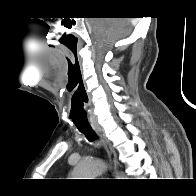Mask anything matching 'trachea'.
Masks as SVG:
<instances>
[{
	"label": "trachea",
	"mask_w": 196,
	"mask_h": 196,
	"mask_svg": "<svg viewBox=\"0 0 196 196\" xmlns=\"http://www.w3.org/2000/svg\"><path fill=\"white\" fill-rule=\"evenodd\" d=\"M78 129L81 133H83L86 136L88 141L94 142L95 140L98 139L96 133L93 131V129L91 127H89V128H78Z\"/></svg>",
	"instance_id": "3493384b"
}]
</instances>
